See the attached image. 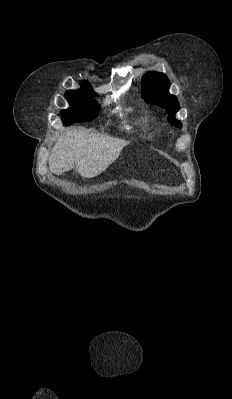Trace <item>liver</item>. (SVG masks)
Listing matches in <instances>:
<instances>
[{
    "label": "liver",
    "mask_w": 232,
    "mask_h": 399,
    "mask_svg": "<svg viewBox=\"0 0 232 399\" xmlns=\"http://www.w3.org/2000/svg\"><path fill=\"white\" fill-rule=\"evenodd\" d=\"M128 144L104 134H89L85 128H70L58 136L49 156V170L60 176L76 166L80 176L94 178L105 172Z\"/></svg>",
    "instance_id": "liver-1"
}]
</instances>
